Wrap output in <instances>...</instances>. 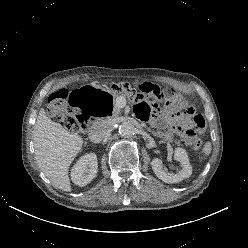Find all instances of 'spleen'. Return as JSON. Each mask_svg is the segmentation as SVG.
I'll list each match as a JSON object with an SVG mask.
<instances>
[{
    "label": "spleen",
    "instance_id": "spleen-1",
    "mask_svg": "<svg viewBox=\"0 0 248 248\" xmlns=\"http://www.w3.org/2000/svg\"><path fill=\"white\" fill-rule=\"evenodd\" d=\"M212 147L210 142H206L203 149H202V156H201V161L205 160L209 154L211 153Z\"/></svg>",
    "mask_w": 248,
    "mask_h": 248
}]
</instances>
